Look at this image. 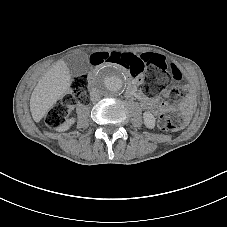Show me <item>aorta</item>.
<instances>
[{
	"label": "aorta",
	"instance_id": "obj_1",
	"mask_svg": "<svg viewBox=\"0 0 227 227\" xmlns=\"http://www.w3.org/2000/svg\"><path fill=\"white\" fill-rule=\"evenodd\" d=\"M94 86L102 96L118 95L124 88L123 74L117 67L106 66L97 73Z\"/></svg>",
	"mask_w": 227,
	"mask_h": 227
}]
</instances>
